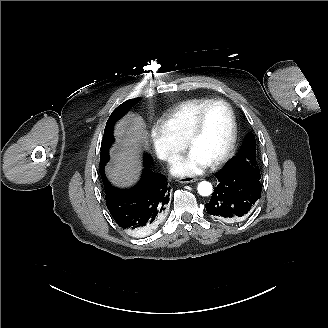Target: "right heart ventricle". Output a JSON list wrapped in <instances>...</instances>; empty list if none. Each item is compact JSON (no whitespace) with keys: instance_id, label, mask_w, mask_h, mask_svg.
<instances>
[{"instance_id":"e07e8e85","label":"right heart ventricle","mask_w":328,"mask_h":328,"mask_svg":"<svg viewBox=\"0 0 328 328\" xmlns=\"http://www.w3.org/2000/svg\"><path fill=\"white\" fill-rule=\"evenodd\" d=\"M209 98H194L182 102L176 107L162 113L157 121L168 131L173 139L184 144L186 135L202 107L209 103Z\"/></svg>"}]
</instances>
